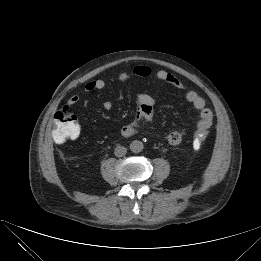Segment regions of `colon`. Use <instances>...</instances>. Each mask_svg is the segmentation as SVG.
I'll list each match as a JSON object with an SVG mask.
<instances>
[{"label": "colon", "instance_id": "5ec220e1", "mask_svg": "<svg viewBox=\"0 0 261 261\" xmlns=\"http://www.w3.org/2000/svg\"><path fill=\"white\" fill-rule=\"evenodd\" d=\"M80 133L77 118L67 108L59 110L53 121L52 138L56 143H63L76 138ZM209 135L208 129L198 130L194 134L192 145L199 149Z\"/></svg>", "mask_w": 261, "mask_h": 261}]
</instances>
